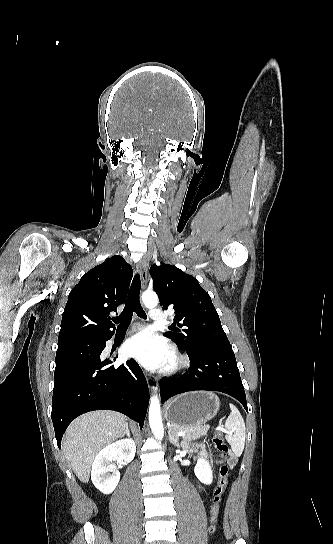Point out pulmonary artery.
Instances as JSON below:
<instances>
[{
    "label": "pulmonary artery",
    "mask_w": 333,
    "mask_h": 544,
    "mask_svg": "<svg viewBox=\"0 0 333 544\" xmlns=\"http://www.w3.org/2000/svg\"><path fill=\"white\" fill-rule=\"evenodd\" d=\"M149 317L153 320V321H162L165 319V315L163 314V312L159 309H151L150 312H149Z\"/></svg>",
    "instance_id": "1"
}]
</instances>
